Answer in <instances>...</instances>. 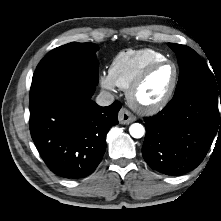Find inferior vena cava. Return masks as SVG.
<instances>
[{"label": "inferior vena cava", "mask_w": 221, "mask_h": 221, "mask_svg": "<svg viewBox=\"0 0 221 221\" xmlns=\"http://www.w3.org/2000/svg\"><path fill=\"white\" fill-rule=\"evenodd\" d=\"M114 102V96L108 91H101L96 97V103L99 106H109Z\"/></svg>", "instance_id": "inferior-vena-cava-1"}]
</instances>
